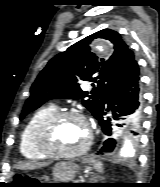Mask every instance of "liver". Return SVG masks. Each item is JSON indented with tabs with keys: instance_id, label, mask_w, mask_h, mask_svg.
I'll list each match as a JSON object with an SVG mask.
<instances>
[{
	"instance_id": "1",
	"label": "liver",
	"mask_w": 160,
	"mask_h": 187,
	"mask_svg": "<svg viewBox=\"0 0 160 187\" xmlns=\"http://www.w3.org/2000/svg\"><path fill=\"white\" fill-rule=\"evenodd\" d=\"M37 166H39V165L32 164V163H25V164L20 165V168H22V169H32V168H35Z\"/></svg>"
}]
</instances>
